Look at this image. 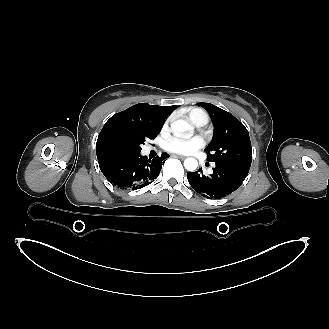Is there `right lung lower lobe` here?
<instances>
[{
    "instance_id": "1",
    "label": "right lung lower lobe",
    "mask_w": 329,
    "mask_h": 329,
    "mask_svg": "<svg viewBox=\"0 0 329 329\" xmlns=\"http://www.w3.org/2000/svg\"><path fill=\"white\" fill-rule=\"evenodd\" d=\"M169 155L162 153L152 160L140 152L111 156L99 160V167L107 180L123 190H136L149 185L158 177L164 160Z\"/></svg>"
}]
</instances>
